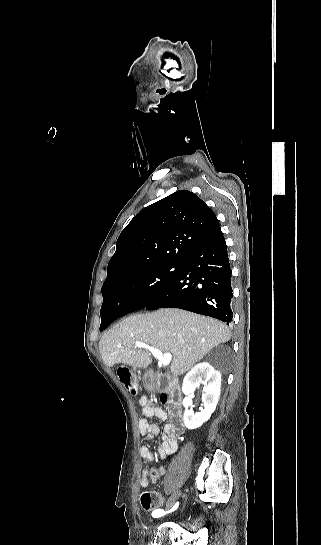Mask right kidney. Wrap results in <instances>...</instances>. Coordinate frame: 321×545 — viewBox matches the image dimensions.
<instances>
[{"label":"right kidney","instance_id":"right-kidney-1","mask_svg":"<svg viewBox=\"0 0 321 545\" xmlns=\"http://www.w3.org/2000/svg\"><path fill=\"white\" fill-rule=\"evenodd\" d=\"M200 383L205 385L202 395L204 409L201 413H194V411H188V407H195L192 401L194 397L193 393L199 387ZM182 393L186 395L185 399H183V407H185L183 421L185 427L187 429H197V427H201L203 423H206L210 419L218 405L221 393V375L219 371H215L214 367L209 365V363H198L184 377Z\"/></svg>","mask_w":321,"mask_h":545}]
</instances>
